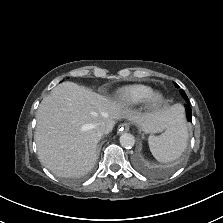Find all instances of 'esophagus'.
<instances>
[{"instance_id": "obj_1", "label": "esophagus", "mask_w": 223, "mask_h": 223, "mask_svg": "<svg viewBox=\"0 0 223 223\" xmlns=\"http://www.w3.org/2000/svg\"><path fill=\"white\" fill-rule=\"evenodd\" d=\"M129 130V124L128 123H123L120 125L119 131L120 132H127Z\"/></svg>"}]
</instances>
